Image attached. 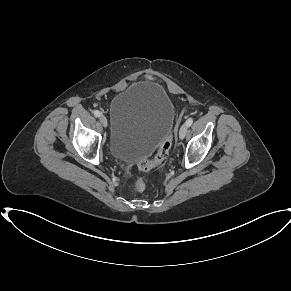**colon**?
<instances>
[{"mask_svg":"<svg viewBox=\"0 0 291 291\" xmlns=\"http://www.w3.org/2000/svg\"><path fill=\"white\" fill-rule=\"evenodd\" d=\"M173 143L172 136H168L159 146L155 156L152 159H142L138 162V168L141 171H149L162 163L168 156ZM132 189L136 192H142L145 189L143 179H136L132 183Z\"/></svg>","mask_w":291,"mask_h":291,"instance_id":"obj_1","label":"colon"}]
</instances>
